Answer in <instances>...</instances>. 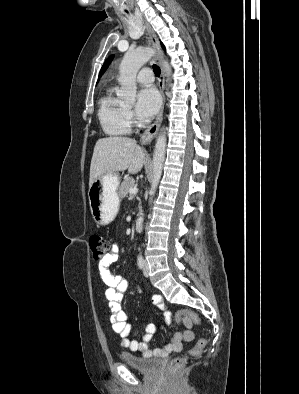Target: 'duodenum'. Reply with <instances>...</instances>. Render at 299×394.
I'll list each match as a JSON object with an SVG mask.
<instances>
[{"label": "duodenum", "instance_id": "410a0bca", "mask_svg": "<svg viewBox=\"0 0 299 394\" xmlns=\"http://www.w3.org/2000/svg\"><path fill=\"white\" fill-rule=\"evenodd\" d=\"M142 227H143V221H142V219H141V218H137V219L135 220V228H136V230H137V231H141V230H142Z\"/></svg>", "mask_w": 299, "mask_h": 394}]
</instances>
